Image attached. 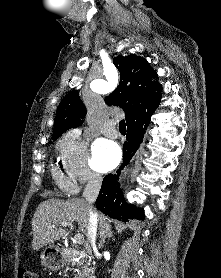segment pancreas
<instances>
[{
  "mask_svg": "<svg viewBox=\"0 0 221 278\" xmlns=\"http://www.w3.org/2000/svg\"><path fill=\"white\" fill-rule=\"evenodd\" d=\"M79 266L83 265V263H78ZM76 274L74 275V278H93L92 273L94 272V268L88 267L87 265L82 266L81 269L75 270Z\"/></svg>",
  "mask_w": 221,
  "mask_h": 278,
  "instance_id": "1",
  "label": "pancreas"
}]
</instances>
